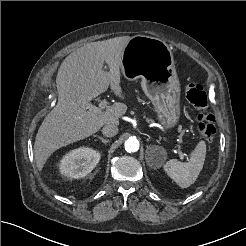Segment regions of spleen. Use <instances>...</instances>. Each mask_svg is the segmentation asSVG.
<instances>
[{"mask_svg": "<svg viewBox=\"0 0 246 246\" xmlns=\"http://www.w3.org/2000/svg\"><path fill=\"white\" fill-rule=\"evenodd\" d=\"M206 157V143L200 141L190 155L188 162H181L177 159H171L164 164L165 172L181 188H188L197 180Z\"/></svg>", "mask_w": 246, "mask_h": 246, "instance_id": "1", "label": "spleen"}]
</instances>
